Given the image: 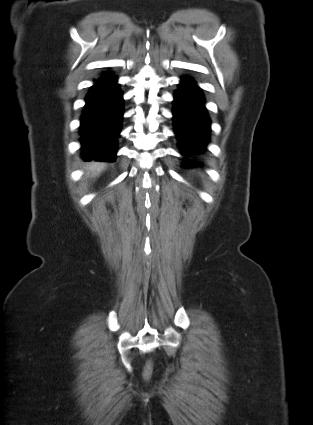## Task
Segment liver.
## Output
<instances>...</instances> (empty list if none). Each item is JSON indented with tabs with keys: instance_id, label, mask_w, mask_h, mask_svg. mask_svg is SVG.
Instances as JSON below:
<instances>
[{
	"instance_id": "1",
	"label": "liver",
	"mask_w": 313,
	"mask_h": 425,
	"mask_svg": "<svg viewBox=\"0 0 313 425\" xmlns=\"http://www.w3.org/2000/svg\"><path fill=\"white\" fill-rule=\"evenodd\" d=\"M84 168L88 172V174L91 172L92 176H97L105 168V164L99 162H91L89 164H86Z\"/></svg>"
}]
</instances>
